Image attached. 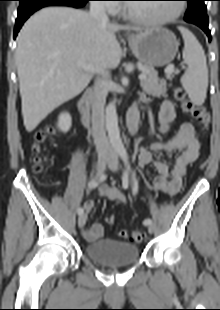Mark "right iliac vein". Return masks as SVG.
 Returning a JSON list of instances; mask_svg holds the SVG:
<instances>
[{
	"label": "right iliac vein",
	"instance_id": "obj_1",
	"mask_svg": "<svg viewBox=\"0 0 220 310\" xmlns=\"http://www.w3.org/2000/svg\"><path fill=\"white\" fill-rule=\"evenodd\" d=\"M110 158L109 157H101L98 159L96 164V178H99L102 173L104 172L106 166L109 164ZM87 216L86 214H81L78 218V226L79 228H83L86 223Z\"/></svg>",
	"mask_w": 220,
	"mask_h": 310
}]
</instances>
